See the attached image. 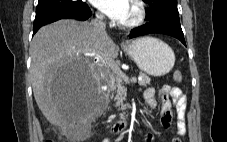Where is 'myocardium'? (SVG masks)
<instances>
[{"label": "myocardium", "instance_id": "obj_1", "mask_svg": "<svg viewBox=\"0 0 227 142\" xmlns=\"http://www.w3.org/2000/svg\"><path fill=\"white\" fill-rule=\"evenodd\" d=\"M135 8L134 17L128 22H122L120 26L126 29H132L142 25L147 18V8L143 0H132Z\"/></svg>", "mask_w": 227, "mask_h": 142}]
</instances>
